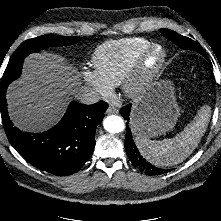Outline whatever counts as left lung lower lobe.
I'll return each instance as SVG.
<instances>
[{
	"label": "left lung lower lobe",
	"mask_w": 221,
	"mask_h": 221,
	"mask_svg": "<svg viewBox=\"0 0 221 221\" xmlns=\"http://www.w3.org/2000/svg\"><path fill=\"white\" fill-rule=\"evenodd\" d=\"M131 110V104L123 107L120 110L121 115L124 117V119L129 120ZM126 138H125V150L127 153L128 158L131 160L132 164L137 167L141 172H144L148 175H160L166 172H169L170 170H164L160 169L158 167L153 166L149 162H147L139 153L138 149L136 148V145L132 139L131 129L126 123Z\"/></svg>",
	"instance_id": "obj_1"
}]
</instances>
